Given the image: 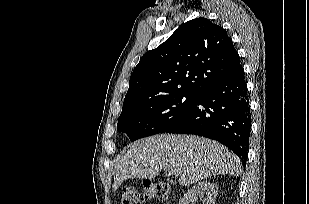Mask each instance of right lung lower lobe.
I'll return each instance as SVG.
<instances>
[{
  "instance_id": "right-lung-lower-lobe-1",
  "label": "right lung lower lobe",
  "mask_w": 309,
  "mask_h": 204,
  "mask_svg": "<svg viewBox=\"0 0 309 204\" xmlns=\"http://www.w3.org/2000/svg\"><path fill=\"white\" fill-rule=\"evenodd\" d=\"M251 129L250 105L242 67L198 94L191 110L167 133L195 134L217 140L246 164Z\"/></svg>"
}]
</instances>
